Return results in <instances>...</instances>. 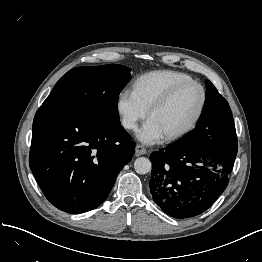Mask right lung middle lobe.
Listing matches in <instances>:
<instances>
[{"mask_svg":"<svg viewBox=\"0 0 262 262\" xmlns=\"http://www.w3.org/2000/svg\"><path fill=\"white\" fill-rule=\"evenodd\" d=\"M130 78V68L123 65L76 67L59 79L42 106L73 109L115 124L118 96Z\"/></svg>","mask_w":262,"mask_h":262,"instance_id":"right-lung-middle-lobe-1","label":"right lung middle lobe"}]
</instances>
